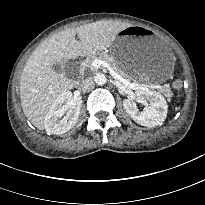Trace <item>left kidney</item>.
<instances>
[{"label":"left kidney","mask_w":205,"mask_h":205,"mask_svg":"<svg viewBox=\"0 0 205 205\" xmlns=\"http://www.w3.org/2000/svg\"><path fill=\"white\" fill-rule=\"evenodd\" d=\"M135 99L140 103L149 104L143 111H139L133 100L123 101L125 111L136 123L146 127H155L166 119L167 102L158 92L148 88H139L135 92Z\"/></svg>","instance_id":"5707ae66"}]
</instances>
